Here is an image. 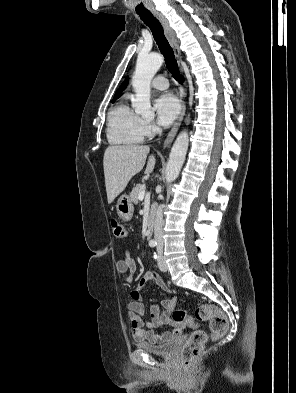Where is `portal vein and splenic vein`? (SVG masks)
<instances>
[{
  "instance_id": "18ae733b",
  "label": "portal vein and splenic vein",
  "mask_w": 296,
  "mask_h": 393,
  "mask_svg": "<svg viewBox=\"0 0 296 393\" xmlns=\"http://www.w3.org/2000/svg\"><path fill=\"white\" fill-rule=\"evenodd\" d=\"M144 196H145V188L139 193L138 199L142 201L144 199Z\"/></svg>"
}]
</instances>
